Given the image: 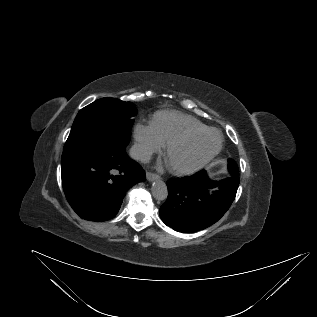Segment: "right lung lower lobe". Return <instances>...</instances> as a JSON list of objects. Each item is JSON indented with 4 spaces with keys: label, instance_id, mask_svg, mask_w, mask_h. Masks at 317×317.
I'll list each match as a JSON object with an SVG mask.
<instances>
[{
    "label": "right lung lower lobe",
    "instance_id": "1",
    "mask_svg": "<svg viewBox=\"0 0 317 317\" xmlns=\"http://www.w3.org/2000/svg\"><path fill=\"white\" fill-rule=\"evenodd\" d=\"M64 193L83 219L106 221L119 211L126 191L145 180L142 167L125 147L107 145L61 165Z\"/></svg>",
    "mask_w": 317,
    "mask_h": 317
}]
</instances>
